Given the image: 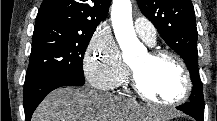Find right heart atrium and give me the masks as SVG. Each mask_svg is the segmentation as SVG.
Returning <instances> with one entry per match:
<instances>
[{
	"label": "right heart atrium",
	"instance_id": "obj_1",
	"mask_svg": "<svg viewBox=\"0 0 217 121\" xmlns=\"http://www.w3.org/2000/svg\"><path fill=\"white\" fill-rule=\"evenodd\" d=\"M83 68L88 82L102 91L113 90L128 76L117 45L106 34L98 33L90 41L84 57Z\"/></svg>",
	"mask_w": 217,
	"mask_h": 121
}]
</instances>
